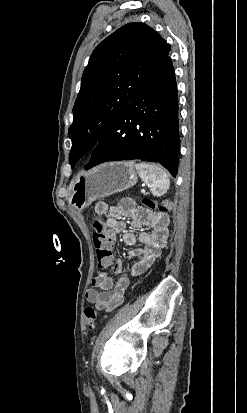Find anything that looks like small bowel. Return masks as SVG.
<instances>
[{
	"mask_svg": "<svg viewBox=\"0 0 247 413\" xmlns=\"http://www.w3.org/2000/svg\"><path fill=\"white\" fill-rule=\"evenodd\" d=\"M95 213L108 214L105 233L109 239L122 233V240L126 245L131 246L137 242L143 245V248L129 253L134 262L128 272L124 271L123 260L117 259L113 263L112 270L118 278L114 280L103 271L102 277L93 278L92 287L86 292V300L97 310L110 312L122 304L124 293L129 286L138 284L145 278L161 250L166 246L169 218L166 215L137 208L131 201L127 206L124 200L113 206L100 201L95 205ZM127 226L134 229L149 228L151 232L142 230L135 235L126 230ZM131 277L139 280L133 283Z\"/></svg>",
	"mask_w": 247,
	"mask_h": 413,
	"instance_id": "1",
	"label": "small bowel"
}]
</instances>
